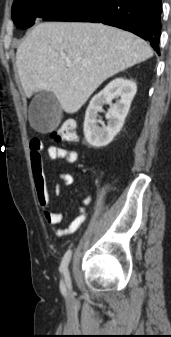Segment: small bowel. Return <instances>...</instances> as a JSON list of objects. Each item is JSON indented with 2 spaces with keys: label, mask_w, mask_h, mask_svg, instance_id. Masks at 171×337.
I'll use <instances>...</instances> for the list:
<instances>
[{
  "label": "small bowel",
  "mask_w": 171,
  "mask_h": 337,
  "mask_svg": "<svg viewBox=\"0 0 171 337\" xmlns=\"http://www.w3.org/2000/svg\"><path fill=\"white\" fill-rule=\"evenodd\" d=\"M31 170L34 182L35 193L39 205L43 209L45 221L53 227L55 234L59 237L74 234L86 220V209L91 202V196L83 198L77 205L78 214L66 228L56 229L55 227L63 222V215L53 210L50 192L47 186L44 159L42 156L43 145L38 138L31 140ZM47 158L51 161L63 160L67 163H75L78 160V152L72 148H65L50 145L46 149ZM58 185L54 188L56 195L60 194L63 188L73 184L74 178L70 173L58 174Z\"/></svg>",
  "instance_id": "small-bowel-1"
}]
</instances>
